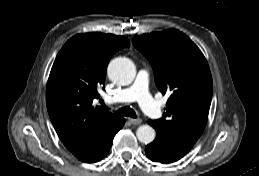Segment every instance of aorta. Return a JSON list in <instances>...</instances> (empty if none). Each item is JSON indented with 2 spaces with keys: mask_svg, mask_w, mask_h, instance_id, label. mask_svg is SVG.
<instances>
[{
  "mask_svg": "<svg viewBox=\"0 0 259 176\" xmlns=\"http://www.w3.org/2000/svg\"><path fill=\"white\" fill-rule=\"evenodd\" d=\"M108 77L120 85H129L135 78L136 69L133 62L125 57H118L110 61L108 65ZM136 136L141 143L149 144L154 141L156 132L149 125H141L137 128Z\"/></svg>",
  "mask_w": 259,
  "mask_h": 176,
  "instance_id": "aorta-1",
  "label": "aorta"
}]
</instances>
